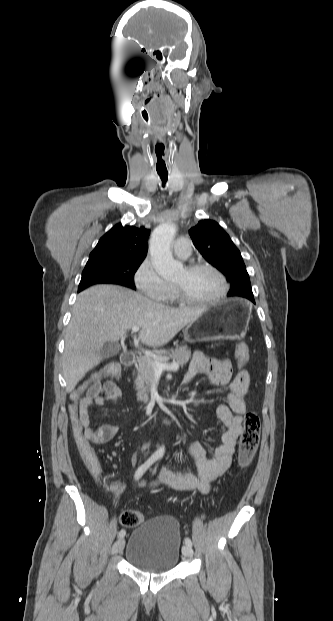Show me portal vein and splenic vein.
<instances>
[{
	"instance_id": "obj_1",
	"label": "portal vein and splenic vein",
	"mask_w": 333,
	"mask_h": 621,
	"mask_svg": "<svg viewBox=\"0 0 333 621\" xmlns=\"http://www.w3.org/2000/svg\"><path fill=\"white\" fill-rule=\"evenodd\" d=\"M131 330H132V332H138L139 331V327L138 326H134V327L131 328ZM153 367H154V371L156 373H161L164 370L175 371L176 372V371L179 370L180 365L177 364V363L165 364V363H162V362L155 361V362H153Z\"/></svg>"
}]
</instances>
